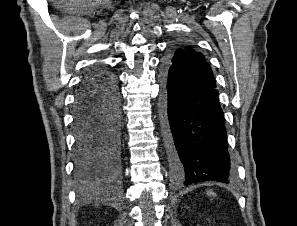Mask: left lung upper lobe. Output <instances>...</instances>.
<instances>
[{"label": "left lung upper lobe", "mask_w": 297, "mask_h": 226, "mask_svg": "<svg viewBox=\"0 0 297 226\" xmlns=\"http://www.w3.org/2000/svg\"><path fill=\"white\" fill-rule=\"evenodd\" d=\"M165 60L174 74L189 87L203 90L216 86L212 70L201 53L185 46Z\"/></svg>", "instance_id": "5c2ea615"}]
</instances>
